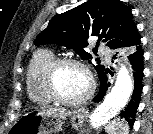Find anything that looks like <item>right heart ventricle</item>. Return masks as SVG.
<instances>
[{
    "instance_id": "e07e8e85",
    "label": "right heart ventricle",
    "mask_w": 153,
    "mask_h": 134,
    "mask_svg": "<svg viewBox=\"0 0 153 134\" xmlns=\"http://www.w3.org/2000/svg\"><path fill=\"white\" fill-rule=\"evenodd\" d=\"M54 59L49 50H39L30 59L26 70V89L30 100L39 105H48L52 102L46 94L42 75L45 67Z\"/></svg>"
}]
</instances>
